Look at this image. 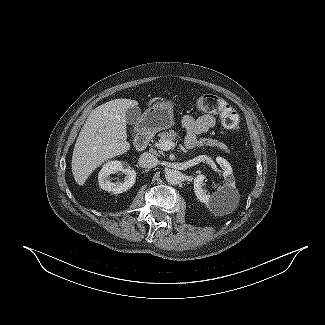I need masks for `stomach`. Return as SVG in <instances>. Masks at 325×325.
<instances>
[{
    "label": "stomach",
    "instance_id": "stomach-1",
    "mask_svg": "<svg viewBox=\"0 0 325 325\" xmlns=\"http://www.w3.org/2000/svg\"><path fill=\"white\" fill-rule=\"evenodd\" d=\"M142 122L145 128L160 131L170 128L173 121V105L171 101L157 102L148 108L143 117Z\"/></svg>",
    "mask_w": 325,
    "mask_h": 325
}]
</instances>
